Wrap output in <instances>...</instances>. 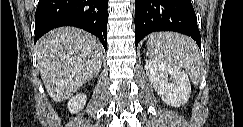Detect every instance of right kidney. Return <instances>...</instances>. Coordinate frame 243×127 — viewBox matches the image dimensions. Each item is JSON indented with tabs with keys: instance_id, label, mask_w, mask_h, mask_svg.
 Listing matches in <instances>:
<instances>
[{
	"instance_id": "ca27d5eb",
	"label": "right kidney",
	"mask_w": 243,
	"mask_h": 127,
	"mask_svg": "<svg viewBox=\"0 0 243 127\" xmlns=\"http://www.w3.org/2000/svg\"><path fill=\"white\" fill-rule=\"evenodd\" d=\"M87 97L86 95L79 93L72 97L68 102V110L71 113H77L82 110L86 104Z\"/></svg>"
}]
</instances>
